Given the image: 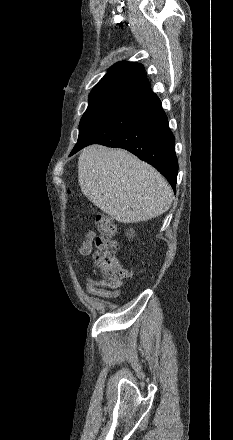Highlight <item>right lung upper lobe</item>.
Wrapping results in <instances>:
<instances>
[{
	"instance_id": "cb5924a9",
	"label": "right lung upper lobe",
	"mask_w": 233,
	"mask_h": 440,
	"mask_svg": "<svg viewBox=\"0 0 233 440\" xmlns=\"http://www.w3.org/2000/svg\"><path fill=\"white\" fill-rule=\"evenodd\" d=\"M150 91L143 65L118 62L92 89L89 103L106 101L127 104Z\"/></svg>"
}]
</instances>
